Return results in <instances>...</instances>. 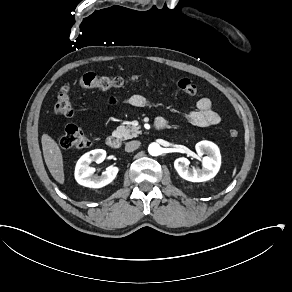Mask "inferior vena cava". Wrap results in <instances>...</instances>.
I'll return each mask as SVG.
<instances>
[{
	"mask_svg": "<svg viewBox=\"0 0 292 292\" xmlns=\"http://www.w3.org/2000/svg\"><path fill=\"white\" fill-rule=\"evenodd\" d=\"M141 145L140 141L134 140L126 143L125 145V151L132 152L136 150Z\"/></svg>",
	"mask_w": 292,
	"mask_h": 292,
	"instance_id": "602c4592",
	"label": "inferior vena cava"
}]
</instances>
